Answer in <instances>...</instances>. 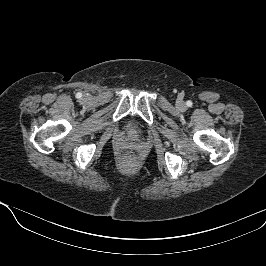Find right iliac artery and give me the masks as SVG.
<instances>
[{
    "mask_svg": "<svg viewBox=\"0 0 266 266\" xmlns=\"http://www.w3.org/2000/svg\"><path fill=\"white\" fill-rule=\"evenodd\" d=\"M82 95L81 93H77V97L80 98Z\"/></svg>",
    "mask_w": 266,
    "mask_h": 266,
    "instance_id": "1",
    "label": "right iliac artery"
}]
</instances>
